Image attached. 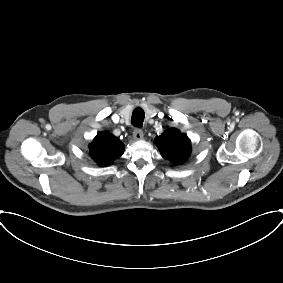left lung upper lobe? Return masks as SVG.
<instances>
[{"instance_id": "1", "label": "left lung upper lobe", "mask_w": 283, "mask_h": 283, "mask_svg": "<svg viewBox=\"0 0 283 283\" xmlns=\"http://www.w3.org/2000/svg\"><path fill=\"white\" fill-rule=\"evenodd\" d=\"M154 142L160 149L162 157L176 165L185 162L191 152L189 138L175 128L166 130L161 136H157Z\"/></svg>"}]
</instances>
